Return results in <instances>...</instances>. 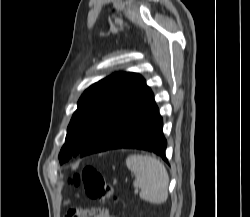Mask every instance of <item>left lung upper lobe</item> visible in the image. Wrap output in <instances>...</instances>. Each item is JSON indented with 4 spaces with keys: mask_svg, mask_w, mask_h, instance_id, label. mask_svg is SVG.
Instances as JSON below:
<instances>
[{
    "mask_svg": "<svg viewBox=\"0 0 250 217\" xmlns=\"http://www.w3.org/2000/svg\"><path fill=\"white\" fill-rule=\"evenodd\" d=\"M143 80L136 73L118 72L91 85L82 94L59 153L61 164L80 155L93 142Z\"/></svg>",
    "mask_w": 250,
    "mask_h": 217,
    "instance_id": "5c2ea615",
    "label": "left lung upper lobe"
}]
</instances>
